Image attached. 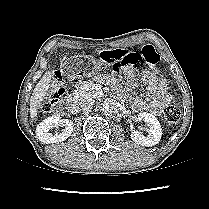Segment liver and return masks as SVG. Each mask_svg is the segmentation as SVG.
<instances>
[{"label": "liver", "mask_w": 209, "mask_h": 209, "mask_svg": "<svg viewBox=\"0 0 209 209\" xmlns=\"http://www.w3.org/2000/svg\"><path fill=\"white\" fill-rule=\"evenodd\" d=\"M52 80L53 74L50 71H46L33 90L30 98V117L32 121L37 117L38 109L44 100L47 99V96L55 92L51 86Z\"/></svg>", "instance_id": "obj_1"}]
</instances>
